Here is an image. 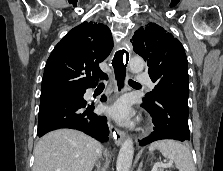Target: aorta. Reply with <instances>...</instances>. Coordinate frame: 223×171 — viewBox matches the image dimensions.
I'll return each instance as SVG.
<instances>
[{
	"mask_svg": "<svg viewBox=\"0 0 223 171\" xmlns=\"http://www.w3.org/2000/svg\"><path fill=\"white\" fill-rule=\"evenodd\" d=\"M144 61L141 57L135 56L129 60V67L132 73H140L144 69ZM134 155L133 141L127 138L121 145L117 162L116 171H130Z\"/></svg>",
	"mask_w": 223,
	"mask_h": 171,
	"instance_id": "aorta-1",
	"label": "aorta"
}]
</instances>
